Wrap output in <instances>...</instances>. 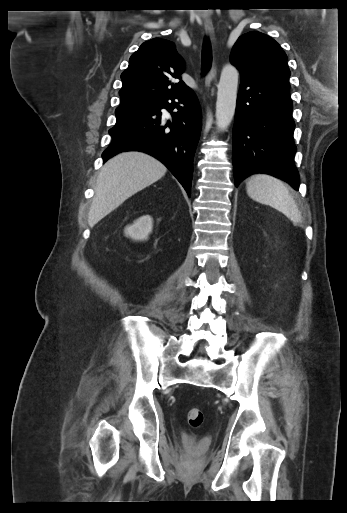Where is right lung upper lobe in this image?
<instances>
[{"instance_id": "cb5924a9", "label": "right lung upper lobe", "mask_w": 347, "mask_h": 513, "mask_svg": "<svg viewBox=\"0 0 347 513\" xmlns=\"http://www.w3.org/2000/svg\"><path fill=\"white\" fill-rule=\"evenodd\" d=\"M183 71V59L172 42L161 38L144 42L130 57L129 66L121 75L119 107L133 110L189 90L183 81L176 84L169 81L171 76L180 79Z\"/></svg>"}]
</instances>
